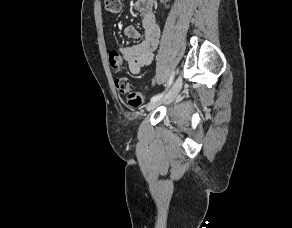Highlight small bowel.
Instances as JSON below:
<instances>
[{
	"instance_id": "small-bowel-1",
	"label": "small bowel",
	"mask_w": 292,
	"mask_h": 228,
	"mask_svg": "<svg viewBox=\"0 0 292 228\" xmlns=\"http://www.w3.org/2000/svg\"><path fill=\"white\" fill-rule=\"evenodd\" d=\"M135 9L140 14L143 32L141 33L133 25L126 26L123 32L127 37L141 38L140 42L121 46L112 52L117 53L121 61L125 60L128 63L131 74L139 75L153 60V54L159 42L160 29L153 12V0H137Z\"/></svg>"
}]
</instances>
